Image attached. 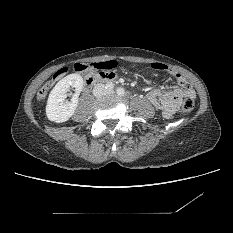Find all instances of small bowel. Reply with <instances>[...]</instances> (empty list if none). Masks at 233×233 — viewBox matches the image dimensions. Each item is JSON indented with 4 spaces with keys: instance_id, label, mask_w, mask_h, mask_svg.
<instances>
[{
    "instance_id": "small-bowel-1",
    "label": "small bowel",
    "mask_w": 233,
    "mask_h": 233,
    "mask_svg": "<svg viewBox=\"0 0 233 233\" xmlns=\"http://www.w3.org/2000/svg\"><path fill=\"white\" fill-rule=\"evenodd\" d=\"M117 68L118 62L114 59L93 62L90 64L91 70L107 73L110 76L109 82H113L117 78ZM171 73L178 84L180 81L186 80L182 74L174 70ZM183 94L184 93L177 86L160 85L147 93V100L161 112L163 118L170 119L179 109ZM187 94L194 96L193 91H190Z\"/></svg>"
}]
</instances>
